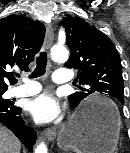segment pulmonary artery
Masks as SVG:
<instances>
[{"mask_svg":"<svg viewBox=\"0 0 130 153\" xmlns=\"http://www.w3.org/2000/svg\"><path fill=\"white\" fill-rule=\"evenodd\" d=\"M73 74L68 70H56L53 74V81L57 84L69 83L72 80ZM24 84L10 89L7 93L8 98L26 97L39 93L42 89L38 82L23 79Z\"/></svg>","mask_w":130,"mask_h":153,"instance_id":"obj_1","label":"pulmonary artery"}]
</instances>
